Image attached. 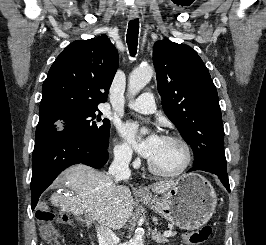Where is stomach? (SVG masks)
<instances>
[{"label":"stomach","mask_w":266,"mask_h":245,"mask_svg":"<svg viewBox=\"0 0 266 245\" xmlns=\"http://www.w3.org/2000/svg\"><path fill=\"white\" fill-rule=\"evenodd\" d=\"M138 197L149 209L184 231H195L206 225L217 205L215 189L198 173L178 177L162 197Z\"/></svg>","instance_id":"0dacf381"}]
</instances>
